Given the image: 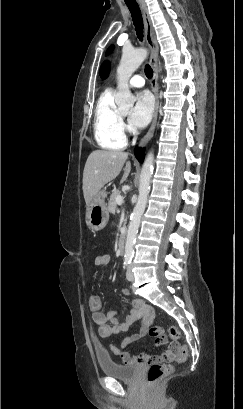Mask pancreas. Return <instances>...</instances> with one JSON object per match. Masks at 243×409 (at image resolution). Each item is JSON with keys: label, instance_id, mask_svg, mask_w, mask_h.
I'll return each mask as SVG.
<instances>
[{"label": "pancreas", "instance_id": "obj_1", "mask_svg": "<svg viewBox=\"0 0 243 409\" xmlns=\"http://www.w3.org/2000/svg\"><path fill=\"white\" fill-rule=\"evenodd\" d=\"M118 196H121V193L118 190L114 191L110 196V199L108 201V211L111 213H115L116 211V206H117L116 198Z\"/></svg>", "mask_w": 243, "mask_h": 409}]
</instances>
